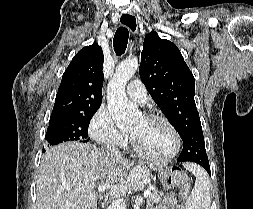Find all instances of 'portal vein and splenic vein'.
I'll return each instance as SVG.
<instances>
[{
	"mask_svg": "<svg viewBox=\"0 0 253 209\" xmlns=\"http://www.w3.org/2000/svg\"><path fill=\"white\" fill-rule=\"evenodd\" d=\"M107 189H108V186H107L105 183H101V184H99V186H98V190H99L100 193L105 192ZM122 190H123V188L115 187V188L113 189V192L115 193V192H117V191H122ZM150 194H151V190H150V189H147V190L144 192V196H145V197H149ZM113 209H125V207H124V205H122V204H117V205L114 206Z\"/></svg>",
	"mask_w": 253,
	"mask_h": 209,
	"instance_id": "1",
	"label": "portal vein and splenic vein"
}]
</instances>
